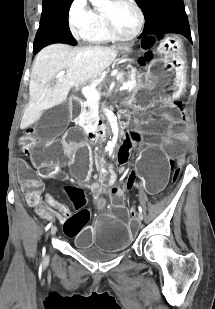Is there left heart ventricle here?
Segmentation results:
<instances>
[{
    "mask_svg": "<svg viewBox=\"0 0 215 309\" xmlns=\"http://www.w3.org/2000/svg\"><path fill=\"white\" fill-rule=\"evenodd\" d=\"M110 25H114L115 29H132L133 27V14L126 7H118L109 12Z\"/></svg>",
    "mask_w": 215,
    "mask_h": 309,
    "instance_id": "obj_1",
    "label": "left heart ventricle"
}]
</instances>
